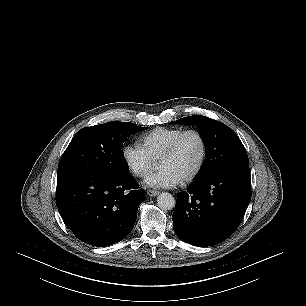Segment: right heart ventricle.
Wrapping results in <instances>:
<instances>
[{
  "instance_id": "e07e8e85",
  "label": "right heart ventricle",
  "mask_w": 306,
  "mask_h": 306,
  "mask_svg": "<svg viewBox=\"0 0 306 306\" xmlns=\"http://www.w3.org/2000/svg\"><path fill=\"white\" fill-rule=\"evenodd\" d=\"M181 128H155L141 137V143L154 160H160L172 142L183 132Z\"/></svg>"
}]
</instances>
